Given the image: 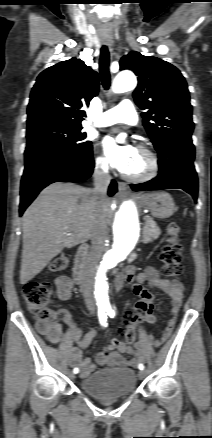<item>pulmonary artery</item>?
I'll return each instance as SVG.
<instances>
[{"label":"pulmonary artery","mask_w":212,"mask_h":438,"mask_svg":"<svg viewBox=\"0 0 212 438\" xmlns=\"http://www.w3.org/2000/svg\"><path fill=\"white\" fill-rule=\"evenodd\" d=\"M138 121L137 113L133 103L122 100L117 106L103 112L97 122L98 126L106 127L116 123L136 125Z\"/></svg>","instance_id":"obj_1"}]
</instances>
